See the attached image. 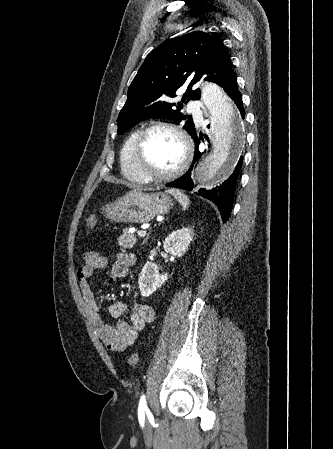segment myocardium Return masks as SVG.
Returning a JSON list of instances; mask_svg holds the SVG:
<instances>
[{"label":"myocardium","instance_id":"f54148a6","mask_svg":"<svg viewBox=\"0 0 333 449\" xmlns=\"http://www.w3.org/2000/svg\"><path fill=\"white\" fill-rule=\"evenodd\" d=\"M155 130H164L167 132L172 133L175 135L181 142L182 148H183V159L180 162V164L171 172L161 175H156L147 172L143 166H142V155H143V146L145 143L146 138L148 135ZM133 159H134V165L138 172V174L146 181V182H168L171 180H174L178 178L180 175H182L186 169L189 167L192 155H193V149L192 144L188 138V136L185 134V132L170 123L162 122V121H156L148 126H146L144 129H142L136 139V142L134 144V152H133Z\"/></svg>","mask_w":333,"mask_h":449}]
</instances>
